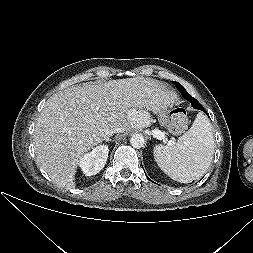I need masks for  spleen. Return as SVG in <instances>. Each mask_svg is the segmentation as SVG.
<instances>
[{
	"label": "spleen",
	"instance_id": "obj_1",
	"mask_svg": "<svg viewBox=\"0 0 253 253\" xmlns=\"http://www.w3.org/2000/svg\"><path fill=\"white\" fill-rule=\"evenodd\" d=\"M154 159L170 178L189 183L202 177L211 165L214 138L209 119L198 113L191 128L177 142L154 147Z\"/></svg>",
	"mask_w": 253,
	"mask_h": 253
}]
</instances>
